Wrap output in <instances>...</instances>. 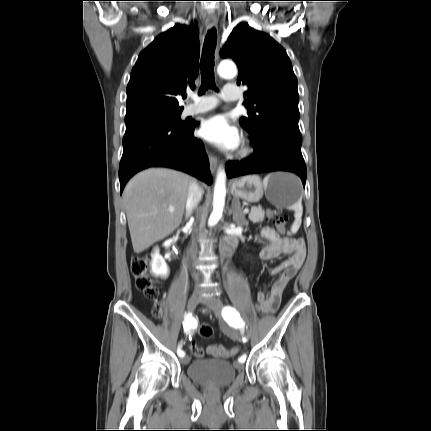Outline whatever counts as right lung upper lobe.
Segmentation results:
<instances>
[{
    "label": "right lung upper lobe",
    "mask_w": 431,
    "mask_h": 431,
    "mask_svg": "<svg viewBox=\"0 0 431 431\" xmlns=\"http://www.w3.org/2000/svg\"><path fill=\"white\" fill-rule=\"evenodd\" d=\"M197 35L183 25L158 35L138 57L127 86L125 121L182 111L178 97L194 88L199 72Z\"/></svg>",
    "instance_id": "obj_1"
}]
</instances>
